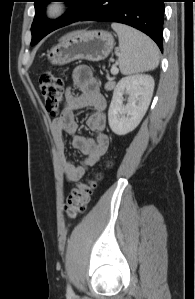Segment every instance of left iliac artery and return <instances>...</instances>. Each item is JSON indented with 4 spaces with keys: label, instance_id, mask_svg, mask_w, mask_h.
Instances as JSON below:
<instances>
[{
    "label": "left iliac artery",
    "instance_id": "left-iliac-artery-1",
    "mask_svg": "<svg viewBox=\"0 0 195 299\" xmlns=\"http://www.w3.org/2000/svg\"><path fill=\"white\" fill-rule=\"evenodd\" d=\"M67 293L70 294V295L73 294V290L69 285L67 286Z\"/></svg>",
    "mask_w": 195,
    "mask_h": 299
}]
</instances>
